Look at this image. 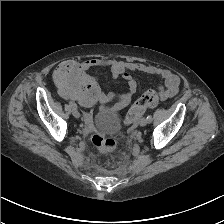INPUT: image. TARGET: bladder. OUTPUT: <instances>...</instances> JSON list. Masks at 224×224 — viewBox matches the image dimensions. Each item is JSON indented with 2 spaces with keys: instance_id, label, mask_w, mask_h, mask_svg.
<instances>
[{
  "instance_id": "obj_1",
  "label": "bladder",
  "mask_w": 224,
  "mask_h": 224,
  "mask_svg": "<svg viewBox=\"0 0 224 224\" xmlns=\"http://www.w3.org/2000/svg\"><path fill=\"white\" fill-rule=\"evenodd\" d=\"M93 122L102 133H116L119 130L118 111L115 108H104L94 116Z\"/></svg>"
}]
</instances>
